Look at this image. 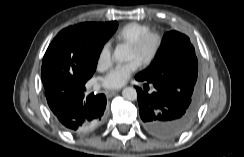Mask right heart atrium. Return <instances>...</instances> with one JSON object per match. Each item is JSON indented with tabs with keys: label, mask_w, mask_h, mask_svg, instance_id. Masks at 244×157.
<instances>
[{
	"label": "right heart atrium",
	"mask_w": 244,
	"mask_h": 157,
	"mask_svg": "<svg viewBox=\"0 0 244 157\" xmlns=\"http://www.w3.org/2000/svg\"><path fill=\"white\" fill-rule=\"evenodd\" d=\"M112 64V47L110 42H105L97 56L96 60V68L98 71H105L107 70Z\"/></svg>",
	"instance_id": "right-heart-atrium-1"
}]
</instances>
